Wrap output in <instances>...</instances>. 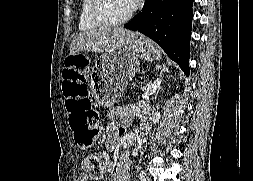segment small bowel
<instances>
[{
	"instance_id": "small-bowel-1",
	"label": "small bowel",
	"mask_w": 253,
	"mask_h": 181,
	"mask_svg": "<svg viewBox=\"0 0 253 181\" xmlns=\"http://www.w3.org/2000/svg\"><path fill=\"white\" fill-rule=\"evenodd\" d=\"M80 68L84 71L88 68V59L86 57L81 58L79 63ZM130 107L121 106L116 107L110 111L108 118L110 121V125L107 128V138H106V146L108 148H115L120 137L124 134L125 130L122 128H118L114 121L118 118H122L127 116L130 113ZM111 175V181H129V166L124 161H119L117 163L107 162L105 168L98 176H92L89 174H81L80 181H89V180H100L105 175Z\"/></svg>"
}]
</instances>
